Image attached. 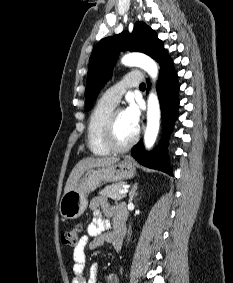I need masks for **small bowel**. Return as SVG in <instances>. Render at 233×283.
Masks as SVG:
<instances>
[{"instance_id": "c3829d8e", "label": "small bowel", "mask_w": 233, "mask_h": 283, "mask_svg": "<svg viewBox=\"0 0 233 283\" xmlns=\"http://www.w3.org/2000/svg\"><path fill=\"white\" fill-rule=\"evenodd\" d=\"M93 215L92 222L88 225L83 235L73 248V272L72 283H97L98 265L92 264L89 269L88 278L85 277L86 250H94L105 243L112 242V233L107 231L111 225L116 227L120 220H125V211L122 208L111 205L104 197L98 196L91 200L89 205ZM100 210L102 212H100ZM112 220V222L110 221ZM106 283H119L114 273L105 276Z\"/></svg>"}]
</instances>
